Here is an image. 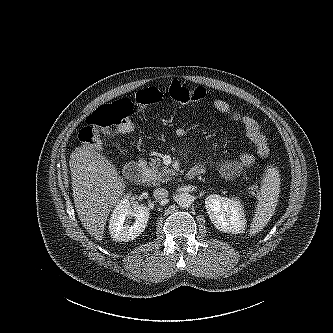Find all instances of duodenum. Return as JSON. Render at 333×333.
<instances>
[{"label":"duodenum","mask_w":333,"mask_h":333,"mask_svg":"<svg viewBox=\"0 0 333 333\" xmlns=\"http://www.w3.org/2000/svg\"><path fill=\"white\" fill-rule=\"evenodd\" d=\"M202 172L203 170L200 167L194 166L186 172L185 177L192 180L201 175ZM124 176L132 183H142L145 179L143 165L136 161L128 162L124 167Z\"/></svg>","instance_id":"duodenum-1"}]
</instances>
